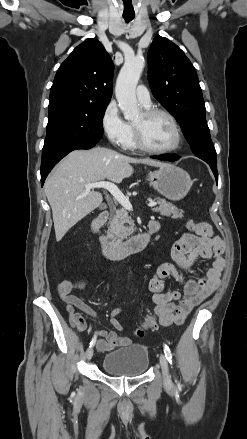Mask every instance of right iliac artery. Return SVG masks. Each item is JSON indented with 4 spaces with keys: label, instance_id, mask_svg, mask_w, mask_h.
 Masks as SVG:
<instances>
[{
    "label": "right iliac artery",
    "instance_id": "1",
    "mask_svg": "<svg viewBox=\"0 0 247 439\" xmlns=\"http://www.w3.org/2000/svg\"><path fill=\"white\" fill-rule=\"evenodd\" d=\"M94 343H95V339H93V340L90 342V347L93 346Z\"/></svg>",
    "mask_w": 247,
    "mask_h": 439
}]
</instances>
